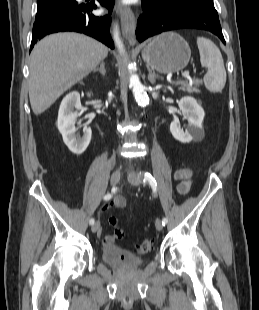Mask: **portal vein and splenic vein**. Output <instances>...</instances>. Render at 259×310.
I'll return each mask as SVG.
<instances>
[{"mask_svg": "<svg viewBox=\"0 0 259 310\" xmlns=\"http://www.w3.org/2000/svg\"><path fill=\"white\" fill-rule=\"evenodd\" d=\"M182 76H183L184 78H188V77H189V71H184L183 74H182Z\"/></svg>", "mask_w": 259, "mask_h": 310, "instance_id": "obj_1", "label": "portal vein and splenic vein"}]
</instances>
